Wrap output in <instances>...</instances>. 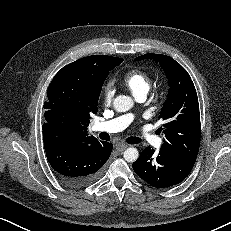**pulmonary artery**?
<instances>
[{
    "mask_svg": "<svg viewBox=\"0 0 231 231\" xmlns=\"http://www.w3.org/2000/svg\"><path fill=\"white\" fill-rule=\"evenodd\" d=\"M145 99H146V95H140L136 97V100L138 102H143ZM132 120H133L132 114H125L108 121L95 123L92 129L94 131H106L109 133H116L127 128L129 124L132 122ZM141 137L143 140L147 141L148 143L154 146L160 144V138L155 136L151 131L147 129L141 130Z\"/></svg>",
    "mask_w": 231,
    "mask_h": 231,
    "instance_id": "e3ab8cb5",
    "label": "pulmonary artery"
}]
</instances>
